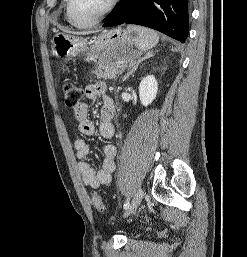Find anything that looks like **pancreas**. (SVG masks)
Instances as JSON below:
<instances>
[{
  "mask_svg": "<svg viewBox=\"0 0 247 257\" xmlns=\"http://www.w3.org/2000/svg\"><path fill=\"white\" fill-rule=\"evenodd\" d=\"M122 70L119 65L116 63L102 62L95 67V70L92 71L97 78L104 79H115L117 75L121 74Z\"/></svg>",
  "mask_w": 247,
  "mask_h": 257,
  "instance_id": "pancreas-1",
  "label": "pancreas"
}]
</instances>
